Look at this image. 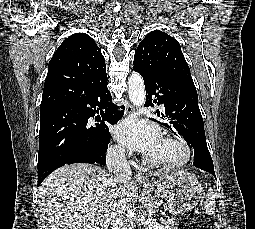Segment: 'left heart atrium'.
<instances>
[{"instance_id":"1","label":"left heart atrium","mask_w":255,"mask_h":229,"mask_svg":"<svg viewBox=\"0 0 255 229\" xmlns=\"http://www.w3.org/2000/svg\"><path fill=\"white\" fill-rule=\"evenodd\" d=\"M114 136L125 146L148 156L153 154L162 140L158 127L135 118L117 125L114 128Z\"/></svg>"}]
</instances>
